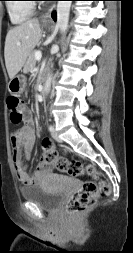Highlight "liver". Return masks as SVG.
<instances>
[{
  "label": "liver",
  "instance_id": "liver-1",
  "mask_svg": "<svg viewBox=\"0 0 133 253\" xmlns=\"http://www.w3.org/2000/svg\"><path fill=\"white\" fill-rule=\"evenodd\" d=\"M38 19L27 20L10 29L6 35L4 57L10 79L23 67L29 53L41 39Z\"/></svg>",
  "mask_w": 133,
  "mask_h": 253
}]
</instances>
